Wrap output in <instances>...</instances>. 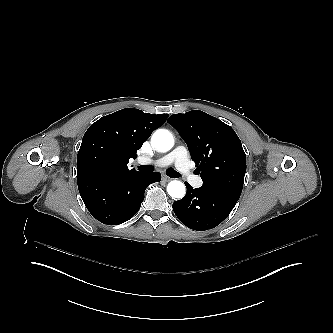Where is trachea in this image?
Listing matches in <instances>:
<instances>
[{
	"label": "trachea",
	"mask_w": 333,
	"mask_h": 333,
	"mask_svg": "<svg viewBox=\"0 0 333 333\" xmlns=\"http://www.w3.org/2000/svg\"><path fill=\"white\" fill-rule=\"evenodd\" d=\"M138 169L142 172H145V173H150V172L154 171V167L151 166V165H141V166H138ZM166 174L171 178L180 177V173H178L177 171H175L172 168H168L166 170Z\"/></svg>",
	"instance_id": "trachea-1"
}]
</instances>
